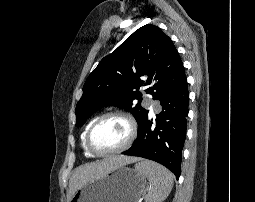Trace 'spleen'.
<instances>
[{"instance_id": "3e777b00", "label": "spleen", "mask_w": 255, "mask_h": 202, "mask_svg": "<svg viewBox=\"0 0 255 202\" xmlns=\"http://www.w3.org/2000/svg\"><path fill=\"white\" fill-rule=\"evenodd\" d=\"M135 169L144 174L152 186L145 196V202H163L171 192L173 174L162 165L149 160H140Z\"/></svg>"}]
</instances>
